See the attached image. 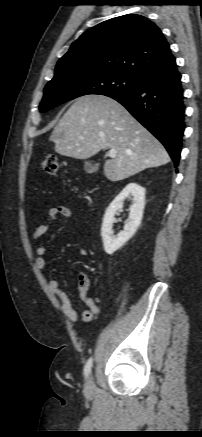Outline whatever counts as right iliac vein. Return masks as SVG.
Here are the masks:
<instances>
[{"label": "right iliac vein", "mask_w": 202, "mask_h": 437, "mask_svg": "<svg viewBox=\"0 0 202 437\" xmlns=\"http://www.w3.org/2000/svg\"><path fill=\"white\" fill-rule=\"evenodd\" d=\"M85 390L88 394H92L95 390L93 381L91 379V377L88 378L86 384H85Z\"/></svg>", "instance_id": "1"}]
</instances>
